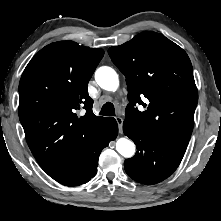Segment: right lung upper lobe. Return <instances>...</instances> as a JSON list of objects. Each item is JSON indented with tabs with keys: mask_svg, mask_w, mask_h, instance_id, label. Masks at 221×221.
Wrapping results in <instances>:
<instances>
[{
	"mask_svg": "<svg viewBox=\"0 0 221 221\" xmlns=\"http://www.w3.org/2000/svg\"><path fill=\"white\" fill-rule=\"evenodd\" d=\"M102 49L59 41L42 48L19 83V118L28 146L48 172L75 154L104 125L92 112L87 86ZM84 108L86 113L77 117Z\"/></svg>",
	"mask_w": 221,
	"mask_h": 221,
	"instance_id": "obj_1",
	"label": "right lung upper lobe"
}]
</instances>
